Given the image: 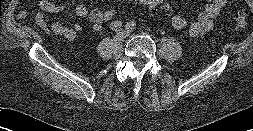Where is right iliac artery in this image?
<instances>
[{
	"label": "right iliac artery",
	"instance_id": "1",
	"mask_svg": "<svg viewBox=\"0 0 253 131\" xmlns=\"http://www.w3.org/2000/svg\"><path fill=\"white\" fill-rule=\"evenodd\" d=\"M122 27V22L120 21H113L110 25L111 30L113 31H117L118 29H120Z\"/></svg>",
	"mask_w": 253,
	"mask_h": 131
}]
</instances>
